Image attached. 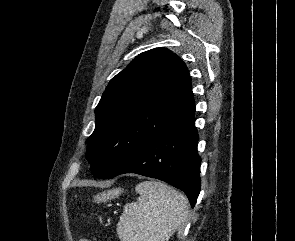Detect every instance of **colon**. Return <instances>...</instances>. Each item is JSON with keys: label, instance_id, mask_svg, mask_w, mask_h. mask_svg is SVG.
<instances>
[{"label": "colon", "instance_id": "1", "mask_svg": "<svg viewBox=\"0 0 295 241\" xmlns=\"http://www.w3.org/2000/svg\"><path fill=\"white\" fill-rule=\"evenodd\" d=\"M79 241H94V240H89V239H80Z\"/></svg>", "mask_w": 295, "mask_h": 241}]
</instances>
